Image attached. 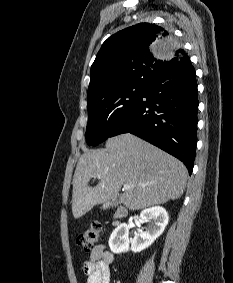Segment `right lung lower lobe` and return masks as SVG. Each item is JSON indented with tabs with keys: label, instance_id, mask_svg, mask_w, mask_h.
<instances>
[{
	"label": "right lung lower lobe",
	"instance_id": "obj_1",
	"mask_svg": "<svg viewBox=\"0 0 233 283\" xmlns=\"http://www.w3.org/2000/svg\"><path fill=\"white\" fill-rule=\"evenodd\" d=\"M197 110L195 69L185 56L146 87L111 136L128 132L137 135L181 160L191 174L197 143Z\"/></svg>",
	"mask_w": 233,
	"mask_h": 283
}]
</instances>
